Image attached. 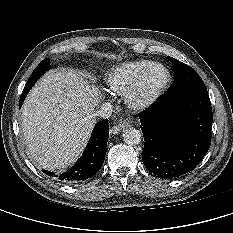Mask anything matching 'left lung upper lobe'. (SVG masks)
<instances>
[{
	"mask_svg": "<svg viewBox=\"0 0 233 233\" xmlns=\"http://www.w3.org/2000/svg\"><path fill=\"white\" fill-rule=\"evenodd\" d=\"M169 60L174 67L175 80L167 93L184 90H207L204 82L193 68L172 57H169Z\"/></svg>",
	"mask_w": 233,
	"mask_h": 233,
	"instance_id": "5c2ea615",
	"label": "left lung upper lobe"
}]
</instances>
